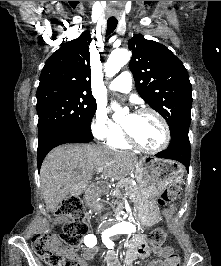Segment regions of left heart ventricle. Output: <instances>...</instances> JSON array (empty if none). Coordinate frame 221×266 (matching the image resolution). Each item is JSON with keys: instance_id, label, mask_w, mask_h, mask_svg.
I'll list each match as a JSON object with an SVG mask.
<instances>
[{"instance_id": "obj_1", "label": "left heart ventricle", "mask_w": 221, "mask_h": 266, "mask_svg": "<svg viewBox=\"0 0 221 266\" xmlns=\"http://www.w3.org/2000/svg\"><path fill=\"white\" fill-rule=\"evenodd\" d=\"M121 124L144 147H157L163 140L164 131L162 125L152 114H127Z\"/></svg>"}]
</instances>
